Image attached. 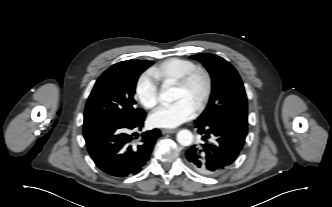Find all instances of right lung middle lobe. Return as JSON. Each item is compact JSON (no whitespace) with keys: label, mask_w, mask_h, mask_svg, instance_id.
<instances>
[{"label":"right lung middle lobe","mask_w":332,"mask_h":207,"mask_svg":"<svg viewBox=\"0 0 332 207\" xmlns=\"http://www.w3.org/2000/svg\"><path fill=\"white\" fill-rule=\"evenodd\" d=\"M153 62L127 60L108 68L97 80L86 104L84 127L98 123H130L145 115L136 108V82Z\"/></svg>","instance_id":"obj_1"}]
</instances>
